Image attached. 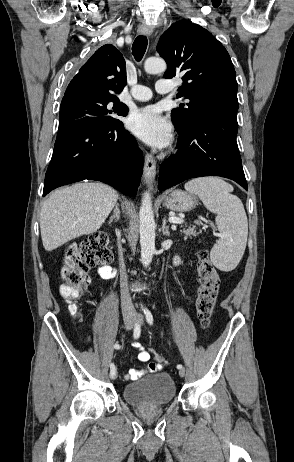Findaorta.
Instances as JSON below:
<instances>
[{"label":"aorta","instance_id":"obj_1","mask_svg":"<svg viewBox=\"0 0 294 462\" xmlns=\"http://www.w3.org/2000/svg\"><path fill=\"white\" fill-rule=\"evenodd\" d=\"M166 67L165 61L156 57L148 58L144 63V69L149 74L164 72ZM139 233L141 261L144 267H148L155 253V220L151 194L149 192L144 193L142 197V204L139 211Z\"/></svg>","mask_w":294,"mask_h":462}]
</instances>
